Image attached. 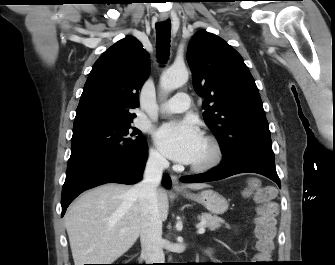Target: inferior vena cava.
I'll return each mask as SVG.
<instances>
[{"instance_id":"602c4592","label":"inferior vena cava","mask_w":335,"mask_h":265,"mask_svg":"<svg viewBox=\"0 0 335 265\" xmlns=\"http://www.w3.org/2000/svg\"><path fill=\"white\" fill-rule=\"evenodd\" d=\"M168 165L169 162L160 154H150L143 180L133 187L134 192L138 195L141 209V254L148 264L165 261L157 188L161 182L163 170Z\"/></svg>"}]
</instances>
